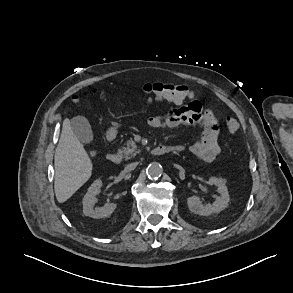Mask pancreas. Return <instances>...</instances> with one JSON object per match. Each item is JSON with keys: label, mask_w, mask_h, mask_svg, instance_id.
Masks as SVG:
<instances>
[{"label": "pancreas", "mask_w": 293, "mask_h": 293, "mask_svg": "<svg viewBox=\"0 0 293 293\" xmlns=\"http://www.w3.org/2000/svg\"><path fill=\"white\" fill-rule=\"evenodd\" d=\"M137 145L131 139L126 143V147L122 148V153L125 159H130L138 153Z\"/></svg>", "instance_id": "obj_1"}]
</instances>
